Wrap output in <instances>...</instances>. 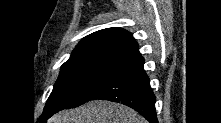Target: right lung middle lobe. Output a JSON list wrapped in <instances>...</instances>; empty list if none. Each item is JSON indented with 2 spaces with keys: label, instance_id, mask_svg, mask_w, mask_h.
Returning a JSON list of instances; mask_svg holds the SVG:
<instances>
[{
  "label": "right lung middle lobe",
  "instance_id": "obj_1",
  "mask_svg": "<svg viewBox=\"0 0 221 123\" xmlns=\"http://www.w3.org/2000/svg\"><path fill=\"white\" fill-rule=\"evenodd\" d=\"M129 59L131 58L126 55L105 50L72 53L61 66L60 75L43 114L84 104L94 88Z\"/></svg>",
  "mask_w": 221,
  "mask_h": 123
}]
</instances>
